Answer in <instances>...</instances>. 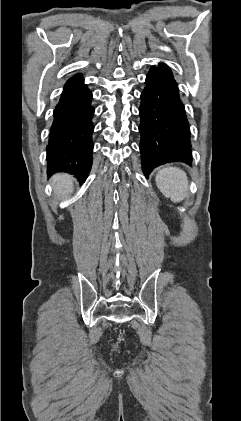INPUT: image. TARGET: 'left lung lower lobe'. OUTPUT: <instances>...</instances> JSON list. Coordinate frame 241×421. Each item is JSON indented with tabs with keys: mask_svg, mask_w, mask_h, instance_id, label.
I'll return each mask as SVG.
<instances>
[{
	"mask_svg": "<svg viewBox=\"0 0 241 421\" xmlns=\"http://www.w3.org/2000/svg\"><path fill=\"white\" fill-rule=\"evenodd\" d=\"M140 151L145 176L170 162L191 164L190 129L185 107L171 69L164 63L153 66L141 93Z\"/></svg>",
	"mask_w": 241,
	"mask_h": 421,
	"instance_id": "obj_1",
	"label": "left lung lower lobe"
}]
</instances>
